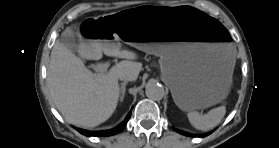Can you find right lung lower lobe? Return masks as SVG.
I'll use <instances>...</instances> for the list:
<instances>
[{"label": "right lung lower lobe", "mask_w": 279, "mask_h": 148, "mask_svg": "<svg viewBox=\"0 0 279 148\" xmlns=\"http://www.w3.org/2000/svg\"><path fill=\"white\" fill-rule=\"evenodd\" d=\"M131 116V113H129L126 118L124 119V121L118 125L117 127L111 129V130H107V131H98V132H90V131H81L78 130L81 134L86 135V136H112L115 135L119 132H121L125 125L127 124L129 118Z\"/></svg>", "instance_id": "right-lung-lower-lobe-1"}]
</instances>
